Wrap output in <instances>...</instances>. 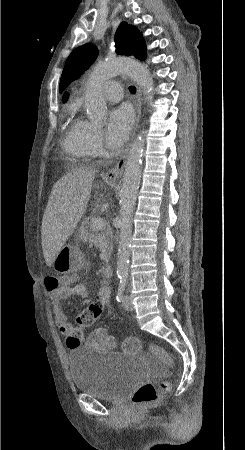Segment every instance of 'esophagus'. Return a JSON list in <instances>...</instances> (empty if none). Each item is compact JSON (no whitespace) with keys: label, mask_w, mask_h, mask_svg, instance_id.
<instances>
[{"label":"esophagus","mask_w":245,"mask_h":450,"mask_svg":"<svg viewBox=\"0 0 245 450\" xmlns=\"http://www.w3.org/2000/svg\"><path fill=\"white\" fill-rule=\"evenodd\" d=\"M141 100H142L141 91L137 87V93H136V121H135L134 129H133V133H132V139H133V137L135 135V132H136L139 120H140ZM129 146H130V144L127 146V148L125 149L124 153L122 154L121 158L116 163V165L104 175L105 179L116 180V179H119L122 176L124 168H125V165H126V160H127V156H128Z\"/></svg>","instance_id":"esophagus-1"}]
</instances>
